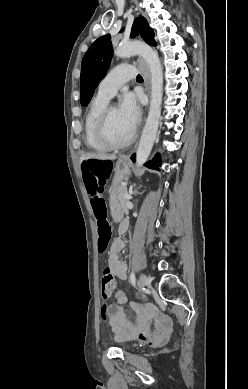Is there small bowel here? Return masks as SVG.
<instances>
[{
    "mask_svg": "<svg viewBox=\"0 0 248 389\" xmlns=\"http://www.w3.org/2000/svg\"><path fill=\"white\" fill-rule=\"evenodd\" d=\"M127 224L124 222L119 227V232L124 233ZM124 247L120 238H116L108 252V266L112 273L120 280H126L127 265L119 259V254ZM116 303L108 307L109 323L117 340L138 339L148 345L162 344L171 335L170 319L158 311L146 306L131 302L130 306L135 312V320L132 322L126 315L123 305L127 298H118Z\"/></svg>",
    "mask_w": 248,
    "mask_h": 389,
    "instance_id": "small-bowel-1",
    "label": "small bowel"
}]
</instances>
